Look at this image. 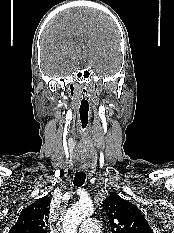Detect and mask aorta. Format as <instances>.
Returning a JSON list of instances; mask_svg holds the SVG:
<instances>
[{
	"label": "aorta",
	"mask_w": 174,
	"mask_h": 233,
	"mask_svg": "<svg viewBox=\"0 0 174 233\" xmlns=\"http://www.w3.org/2000/svg\"><path fill=\"white\" fill-rule=\"evenodd\" d=\"M94 212L90 202H77L66 212L63 221L64 233H76L79 224Z\"/></svg>",
	"instance_id": "762f6f07"
}]
</instances>
